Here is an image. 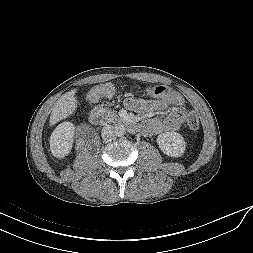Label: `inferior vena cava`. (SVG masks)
<instances>
[{"instance_id":"obj_1","label":"inferior vena cava","mask_w":253,"mask_h":253,"mask_svg":"<svg viewBox=\"0 0 253 253\" xmlns=\"http://www.w3.org/2000/svg\"><path fill=\"white\" fill-rule=\"evenodd\" d=\"M104 141H111L115 137L114 127L111 125H106L103 127L101 132Z\"/></svg>"}]
</instances>
